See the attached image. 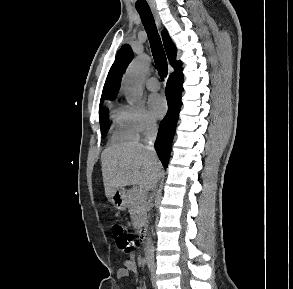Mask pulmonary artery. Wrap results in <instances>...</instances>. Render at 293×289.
I'll use <instances>...</instances> for the list:
<instances>
[{"instance_id": "e3ab8cb5", "label": "pulmonary artery", "mask_w": 293, "mask_h": 289, "mask_svg": "<svg viewBox=\"0 0 293 289\" xmlns=\"http://www.w3.org/2000/svg\"><path fill=\"white\" fill-rule=\"evenodd\" d=\"M146 86L151 91H157L160 89V82L157 78L151 77L146 81Z\"/></svg>"}]
</instances>
